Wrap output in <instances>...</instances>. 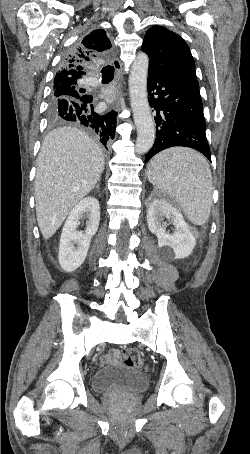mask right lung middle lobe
Wrapping results in <instances>:
<instances>
[{
    "label": "right lung middle lobe",
    "instance_id": "obj_1",
    "mask_svg": "<svg viewBox=\"0 0 250 454\" xmlns=\"http://www.w3.org/2000/svg\"><path fill=\"white\" fill-rule=\"evenodd\" d=\"M77 83L64 84V85H54L53 92L50 99V108H49V120L51 123H61L64 120L56 114V111L52 106L57 104L60 98H66L69 102L81 101L87 97V95H80L82 91L77 88Z\"/></svg>",
    "mask_w": 250,
    "mask_h": 454
}]
</instances>
